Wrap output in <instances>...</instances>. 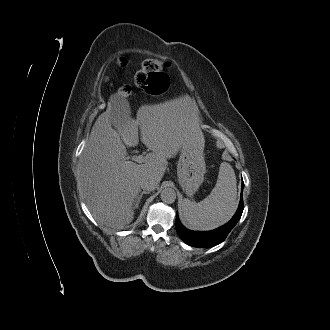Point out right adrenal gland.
<instances>
[{
	"instance_id": "right-adrenal-gland-1",
	"label": "right adrenal gland",
	"mask_w": 330,
	"mask_h": 330,
	"mask_svg": "<svg viewBox=\"0 0 330 330\" xmlns=\"http://www.w3.org/2000/svg\"><path fill=\"white\" fill-rule=\"evenodd\" d=\"M149 192L147 191H143L140 193V195L137 196L136 200H135V204H134V209L138 208L139 207V204H140V201L143 197L144 194H148Z\"/></svg>"
}]
</instances>
